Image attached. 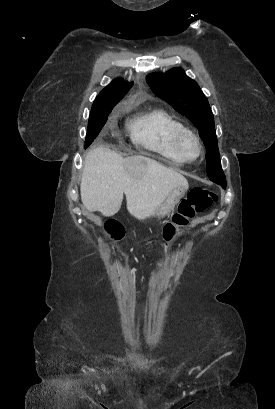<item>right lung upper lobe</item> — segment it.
I'll return each mask as SVG.
<instances>
[{"label":"right lung upper lobe","mask_w":275,"mask_h":409,"mask_svg":"<svg viewBox=\"0 0 275 409\" xmlns=\"http://www.w3.org/2000/svg\"><path fill=\"white\" fill-rule=\"evenodd\" d=\"M133 82H126L123 79L113 80L96 97L91 111L113 108L128 92Z\"/></svg>","instance_id":"cb5924a9"}]
</instances>
